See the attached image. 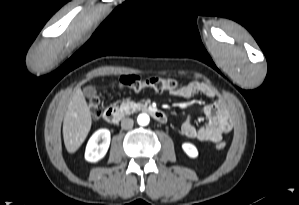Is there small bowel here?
<instances>
[{
	"label": "small bowel",
	"instance_id": "1",
	"mask_svg": "<svg viewBox=\"0 0 299 205\" xmlns=\"http://www.w3.org/2000/svg\"><path fill=\"white\" fill-rule=\"evenodd\" d=\"M173 94L186 99L196 95L215 98L212 103L205 105L198 112L199 115L207 119L205 125L195 126L192 118H188L181 124L180 130L184 136L215 143L222 140L223 136L231 131L232 120L229 109L225 101L217 97L216 90L209 84L193 81L173 91Z\"/></svg>",
	"mask_w": 299,
	"mask_h": 205
}]
</instances>
